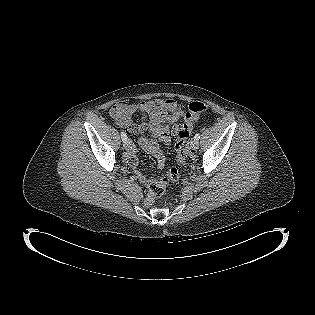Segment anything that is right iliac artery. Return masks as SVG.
I'll list each match as a JSON object with an SVG mask.
<instances>
[{
  "instance_id": "1",
  "label": "right iliac artery",
  "mask_w": 315,
  "mask_h": 315,
  "mask_svg": "<svg viewBox=\"0 0 315 315\" xmlns=\"http://www.w3.org/2000/svg\"><path fill=\"white\" fill-rule=\"evenodd\" d=\"M121 138H122L123 142H125L127 140V136H126L124 131H121Z\"/></svg>"
}]
</instances>
